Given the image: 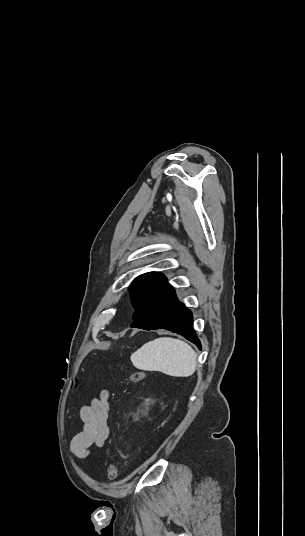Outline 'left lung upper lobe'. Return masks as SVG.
Here are the masks:
<instances>
[{"instance_id":"5c2ea615","label":"left lung upper lobe","mask_w":305,"mask_h":536,"mask_svg":"<svg viewBox=\"0 0 305 536\" xmlns=\"http://www.w3.org/2000/svg\"><path fill=\"white\" fill-rule=\"evenodd\" d=\"M167 285L166 277L158 272L145 273L135 278L130 286V297L135 310Z\"/></svg>"}]
</instances>
